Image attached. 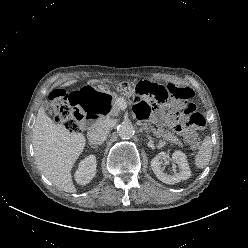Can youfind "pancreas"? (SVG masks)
Returning <instances> with one entry per match:
<instances>
[{
  "label": "pancreas",
  "mask_w": 248,
  "mask_h": 248,
  "mask_svg": "<svg viewBox=\"0 0 248 248\" xmlns=\"http://www.w3.org/2000/svg\"><path fill=\"white\" fill-rule=\"evenodd\" d=\"M118 99L119 97L117 95L113 97L112 110L110 112V116H117L118 113L120 112L119 105L117 104ZM142 128L146 132H152L154 136H156L157 138H162L163 140L169 141L178 146H182V142L174 135V133L168 130H164L162 128L155 129L149 123H144Z\"/></svg>",
  "instance_id": "pancreas-1"
}]
</instances>
